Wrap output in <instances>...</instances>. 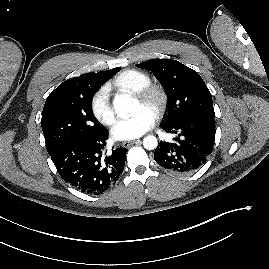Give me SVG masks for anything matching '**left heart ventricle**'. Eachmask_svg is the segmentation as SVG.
<instances>
[{
  "label": "left heart ventricle",
  "instance_id": "1",
  "mask_svg": "<svg viewBox=\"0 0 269 269\" xmlns=\"http://www.w3.org/2000/svg\"><path fill=\"white\" fill-rule=\"evenodd\" d=\"M142 107H146L149 110H151L154 113V107L153 105H143L142 103H140L139 101L136 102V108L135 111L137 112L140 108Z\"/></svg>",
  "mask_w": 269,
  "mask_h": 269
}]
</instances>
